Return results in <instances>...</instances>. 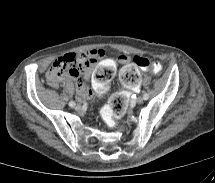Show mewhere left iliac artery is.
Masks as SVG:
<instances>
[{
    "label": "left iliac artery",
    "instance_id": "obj_1",
    "mask_svg": "<svg viewBox=\"0 0 215 183\" xmlns=\"http://www.w3.org/2000/svg\"><path fill=\"white\" fill-rule=\"evenodd\" d=\"M143 98H144V100H147L149 98V95L147 93H144Z\"/></svg>",
    "mask_w": 215,
    "mask_h": 183
}]
</instances>
